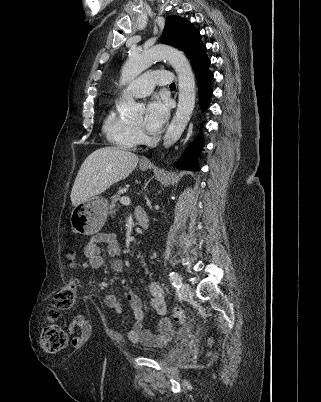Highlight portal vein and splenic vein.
<instances>
[{
  "instance_id": "1",
  "label": "portal vein and splenic vein",
  "mask_w": 321,
  "mask_h": 402,
  "mask_svg": "<svg viewBox=\"0 0 321 402\" xmlns=\"http://www.w3.org/2000/svg\"><path fill=\"white\" fill-rule=\"evenodd\" d=\"M120 202H121L122 204H125V205H129V204L131 203V201H130V199H129L128 197H122V198L120 199Z\"/></svg>"
}]
</instances>
